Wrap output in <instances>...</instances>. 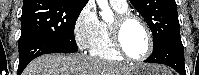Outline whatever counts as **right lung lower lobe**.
I'll return each mask as SVG.
<instances>
[{"label": "right lung lower lobe", "mask_w": 199, "mask_h": 75, "mask_svg": "<svg viewBox=\"0 0 199 75\" xmlns=\"http://www.w3.org/2000/svg\"><path fill=\"white\" fill-rule=\"evenodd\" d=\"M19 47V66L17 74L20 75L28 63L34 58L48 53H72L77 52V48H73L58 42L51 41L44 37H33L26 40Z\"/></svg>", "instance_id": "obj_1"}]
</instances>
